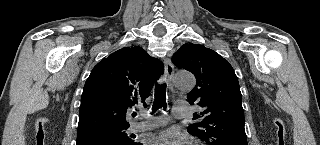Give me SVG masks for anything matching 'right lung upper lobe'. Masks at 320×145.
Here are the masks:
<instances>
[{
    "mask_svg": "<svg viewBox=\"0 0 320 145\" xmlns=\"http://www.w3.org/2000/svg\"><path fill=\"white\" fill-rule=\"evenodd\" d=\"M163 63L139 47L122 48L100 61L81 96L78 135L102 128L129 127L128 108L144 104Z\"/></svg>",
    "mask_w": 320,
    "mask_h": 145,
    "instance_id": "right-lung-upper-lobe-1",
    "label": "right lung upper lobe"
}]
</instances>
